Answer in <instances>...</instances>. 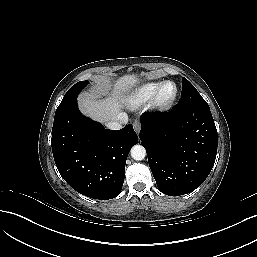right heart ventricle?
<instances>
[{
  "mask_svg": "<svg viewBox=\"0 0 257 257\" xmlns=\"http://www.w3.org/2000/svg\"><path fill=\"white\" fill-rule=\"evenodd\" d=\"M164 82L165 81L149 82L139 86L125 97V103L132 106H138L148 101L153 97Z\"/></svg>",
  "mask_w": 257,
  "mask_h": 257,
  "instance_id": "right-heart-ventricle-1",
  "label": "right heart ventricle"
}]
</instances>
